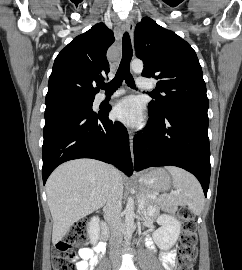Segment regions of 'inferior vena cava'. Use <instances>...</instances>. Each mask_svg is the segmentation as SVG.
Instances as JSON below:
<instances>
[{
    "label": "inferior vena cava",
    "instance_id": "1",
    "mask_svg": "<svg viewBox=\"0 0 242 270\" xmlns=\"http://www.w3.org/2000/svg\"><path fill=\"white\" fill-rule=\"evenodd\" d=\"M111 173L112 182L105 207V214L111 231V250L115 253L113 262L117 264L119 262L118 250L122 244L124 227L120 216L122 210L123 184L120 180V172L112 166Z\"/></svg>",
    "mask_w": 242,
    "mask_h": 270
}]
</instances>
